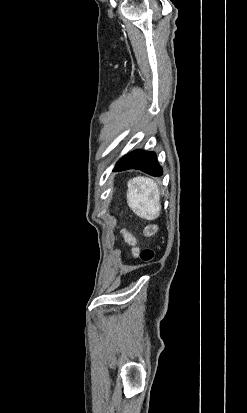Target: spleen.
<instances>
[{"label":"spleen","instance_id":"1","mask_svg":"<svg viewBox=\"0 0 247 413\" xmlns=\"http://www.w3.org/2000/svg\"><path fill=\"white\" fill-rule=\"evenodd\" d=\"M127 202L130 209L139 215V217H148L153 215L160 209V192L159 188L152 180L147 176H134L127 182Z\"/></svg>","mask_w":247,"mask_h":413}]
</instances>
